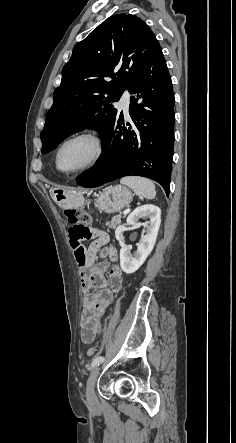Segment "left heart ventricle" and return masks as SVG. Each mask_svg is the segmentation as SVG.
Here are the masks:
<instances>
[{
  "label": "left heart ventricle",
  "mask_w": 236,
  "mask_h": 443,
  "mask_svg": "<svg viewBox=\"0 0 236 443\" xmlns=\"http://www.w3.org/2000/svg\"><path fill=\"white\" fill-rule=\"evenodd\" d=\"M94 154L93 143L85 138L69 142L60 153V167L72 170L87 164Z\"/></svg>",
  "instance_id": "left-heart-ventricle-1"
}]
</instances>
